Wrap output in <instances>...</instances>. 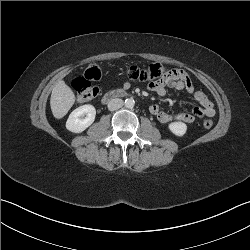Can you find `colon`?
Returning a JSON list of instances; mask_svg holds the SVG:
<instances>
[{"label": "colon", "instance_id": "5ec220e1", "mask_svg": "<svg viewBox=\"0 0 250 250\" xmlns=\"http://www.w3.org/2000/svg\"><path fill=\"white\" fill-rule=\"evenodd\" d=\"M169 72L160 63H152L147 67H139L136 65L129 66L125 69V74L132 80L148 82L154 80L157 82L163 75ZM102 76L101 67L96 64H90L85 70L83 76L77 77L73 81V89L76 93V98L79 102H88L97 97L99 90L91 85V81L99 80ZM213 126V121L206 119L203 122L205 129H210Z\"/></svg>", "mask_w": 250, "mask_h": 250}]
</instances>
